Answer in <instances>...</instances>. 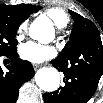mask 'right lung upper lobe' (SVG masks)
<instances>
[{
    "mask_svg": "<svg viewBox=\"0 0 103 103\" xmlns=\"http://www.w3.org/2000/svg\"><path fill=\"white\" fill-rule=\"evenodd\" d=\"M40 6L35 5H0V10L8 13L9 15L19 18L27 19L32 13L40 10Z\"/></svg>",
    "mask_w": 103,
    "mask_h": 103,
    "instance_id": "obj_1",
    "label": "right lung upper lobe"
}]
</instances>
